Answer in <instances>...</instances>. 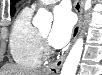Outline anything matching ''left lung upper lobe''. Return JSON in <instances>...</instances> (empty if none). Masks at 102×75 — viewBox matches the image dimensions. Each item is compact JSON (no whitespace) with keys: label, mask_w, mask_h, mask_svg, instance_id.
<instances>
[{"label":"left lung upper lobe","mask_w":102,"mask_h":75,"mask_svg":"<svg viewBox=\"0 0 102 75\" xmlns=\"http://www.w3.org/2000/svg\"><path fill=\"white\" fill-rule=\"evenodd\" d=\"M17 1H18V0H11V16H13L14 13H15V7H14V5H15V3H16Z\"/></svg>","instance_id":"obj_1"}]
</instances>
